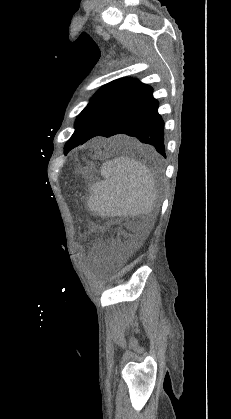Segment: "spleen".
I'll list each match as a JSON object with an SVG mask.
<instances>
[{"label": "spleen", "instance_id": "spleen-1", "mask_svg": "<svg viewBox=\"0 0 231 419\" xmlns=\"http://www.w3.org/2000/svg\"><path fill=\"white\" fill-rule=\"evenodd\" d=\"M103 181L92 186L89 209L102 216H139L151 213L157 201L153 174L140 161L116 157L101 170Z\"/></svg>", "mask_w": 231, "mask_h": 419}]
</instances>
